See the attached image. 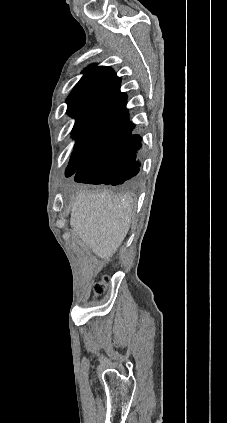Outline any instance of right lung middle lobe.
Segmentation results:
<instances>
[{"mask_svg": "<svg viewBox=\"0 0 227 423\" xmlns=\"http://www.w3.org/2000/svg\"><path fill=\"white\" fill-rule=\"evenodd\" d=\"M92 155H84L73 152L70 164L67 169V175H73Z\"/></svg>", "mask_w": 227, "mask_h": 423, "instance_id": "right-lung-middle-lobe-1", "label": "right lung middle lobe"}]
</instances>
